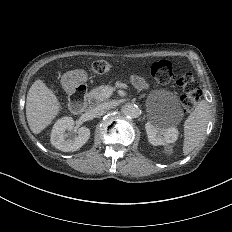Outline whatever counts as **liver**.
Instances as JSON below:
<instances>
[{"label": "liver", "mask_w": 232, "mask_h": 232, "mask_svg": "<svg viewBox=\"0 0 232 232\" xmlns=\"http://www.w3.org/2000/svg\"><path fill=\"white\" fill-rule=\"evenodd\" d=\"M60 104L54 92L42 80L30 87L26 99V117L31 131L39 134L58 114Z\"/></svg>", "instance_id": "obj_1"}]
</instances>
